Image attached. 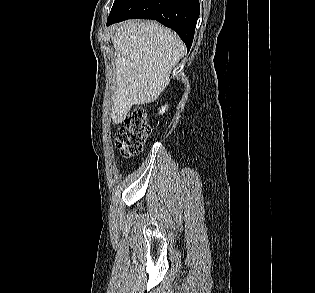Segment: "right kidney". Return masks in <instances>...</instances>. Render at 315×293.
I'll list each match as a JSON object with an SVG mask.
<instances>
[{"label":"right kidney","instance_id":"obj_1","mask_svg":"<svg viewBox=\"0 0 315 293\" xmlns=\"http://www.w3.org/2000/svg\"><path fill=\"white\" fill-rule=\"evenodd\" d=\"M167 105H165V106H162V108L160 109V114H163V113H165V111L167 110Z\"/></svg>","mask_w":315,"mask_h":293}]
</instances>
